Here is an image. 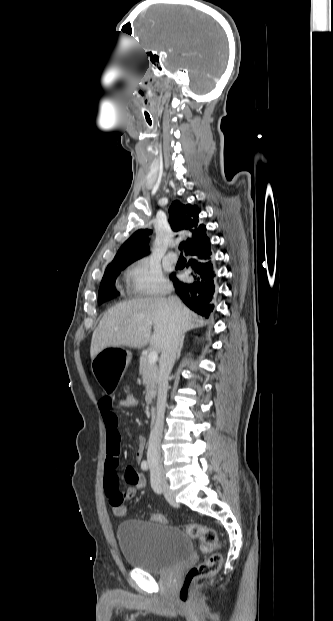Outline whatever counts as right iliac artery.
<instances>
[{
    "instance_id": "1",
    "label": "right iliac artery",
    "mask_w": 333,
    "mask_h": 621,
    "mask_svg": "<svg viewBox=\"0 0 333 621\" xmlns=\"http://www.w3.org/2000/svg\"><path fill=\"white\" fill-rule=\"evenodd\" d=\"M141 468H142V470H144V471H147V470L149 469V464H148V462H147L146 460H143V461H142V463H141Z\"/></svg>"
}]
</instances>
